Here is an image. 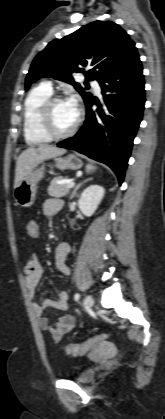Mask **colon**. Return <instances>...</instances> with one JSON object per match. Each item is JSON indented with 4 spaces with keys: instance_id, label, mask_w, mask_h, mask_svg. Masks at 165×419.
<instances>
[{
    "instance_id": "1",
    "label": "colon",
    "mask_w": 165,
    "mask_h": 419,
    "mask_svg": "<svg viewBox=\"0 0 165 419\" xmlns=\"http://www.w3.org/2000/svg\"><path fill=\"white\" fill-rule=\"evenodd\" d=\"M33 222L34 221H30L27 225L31 234L36 233V225ZM107 338H108L107 333L98 334L96 336H93V337L89 338L86 341L76 343V344L67 345L65 347V350L68 354H70L72 356H80V355L86 354V353L90 352L91 350L95 349L100 343L105 341Z\"/></svg>"
}]
</instances>
